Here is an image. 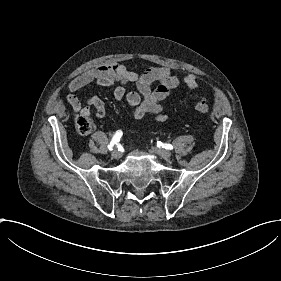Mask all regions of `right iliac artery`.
I'll return each instance as SVG.
<instances>
[{"mask_svg": "<svg viewBox=\"0 0 281 281\" xmlns=\"http://www.w3.org/2000/svg\"><path fill=\"white\" fill-rule=\"evenodd\" d=\"M121 136H122V131H120V130L117 131L116 134L114 135V137L112 138V141L108 145L109 150H111V151L113 150L112 147L120 141Z\"/></svg>", "mask_w": 281, "mask_h": 281, "instance_id": "1", "label": "right iliac artery"}]
</instances>
